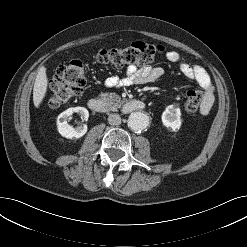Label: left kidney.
<instances>
[{
  "label": "left kidney",
  "instance_id": "5707ae66",
  "mask_svg": "<svg viewBox=\"0 0 247 247\" xmlns=\"http://www.w3.org/2000/svg\"><path fill=\"white\" fill-rule=\"evenodd\" d=\"M162 123L165 127L172 129L173 131L179 130L182 124L181 110L175 105H169L162 113Z\"/></svg>",
  "mask_w": 247,
  "mask_h": 247
}]
</instances>
